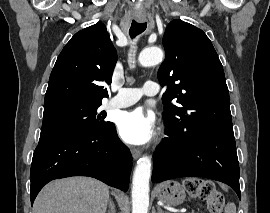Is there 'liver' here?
I'll return each mask as SVG.
<instances>
[{
	"instance_id": "6515ba94",
	"label": "liver",
	"mask_w": 270,
	"mask_h": 213,
	"mask_svg": "<svg viewBox=\"0 0 270 213\" xmlns=\"http://www.w3.org/2000/svg\"><path fill=\"white\" fill-rule=\"evenodd\" d=\"M109 188L86 177L55 180L40 192L35 213H106Z\"/></svg>"
}]
</instances>
